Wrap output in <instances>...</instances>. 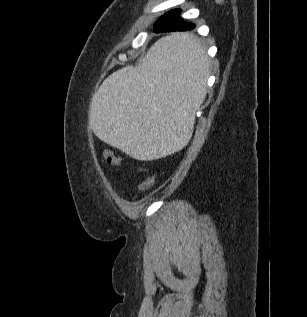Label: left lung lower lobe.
Masks as SVG:
<instances>
[{"label":"left lung lower lobe","mask_w":307,"mask_h":317,"mask_svg":"<svg viewBox=\"0 0 307 317\" xmlns=\"http://www.w3.org/2000/svg\"><path fill=\"white\" fill-rule=\"evenodd\" d=\"M162 17V16H161ZM195 25L193 23H188L185 25L173 27L171 23L167 20H160L156 22L154 26L155 33H165V32H174V31H183L185 33L177 36L172 42V47H181L185 44L194 42L193 36L187 33L190 30H193Z\"/></svg>","instance_id":"0a47b994"}]
</instances>
